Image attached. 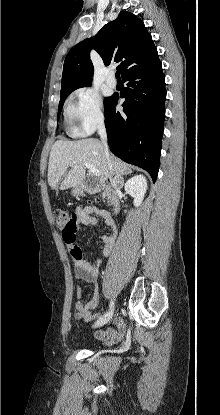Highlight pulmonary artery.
<instances>
[{
  "label": "pulmonary artery",
  "mask_w": 220,
  "mask_h": 415,
  "mask_svg": "<svg viewBox=\"0 0 220 415\" xmlns=\"http://www.w3.org/2000/svg\"><path fill=\"white\" fill-rule=\"evenodd\" d=\"M106 83H107V85H108L110 88H115V87H116V85H117V81H116V79H115V77H114L113 72H110V73H109L108 78H107V80H106Z\"/></svg>",
  "instance_id": "e3ab8cb5"
}]
</instances>
